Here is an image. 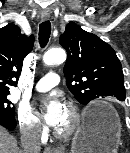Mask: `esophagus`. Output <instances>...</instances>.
Here are the masks:
<instances>
[{
	"label": "esophagus",
	"mask_w": 130,
	"mask_h": 153,
	"mask_svg": "<svg viewBox=\"0 0 130 153\" xmlns=\"http://www.w3.org/2000/svg\"><path fill=\"white\" fill-rule=\"evenodd\" d=\"M49 14H42L41 15V18L42 20H48L49 19ZM58 151L50 146H47L45 149H44V153H57Z\"/></svg>",
	"instance_id": "34e87169"
}]
</instances>
